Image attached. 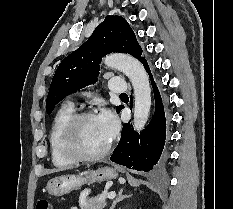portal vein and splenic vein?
<instances>
[{
	"instance_id": "portal-vein-and-splenic-vein-1",
	"label": "portal vein and splenic vein",
	"mask_w": 233,
	"mask_h": 209,
	"mask_svg": "<svg viewBox=\"0 0 233 209\" xmlns=\"http://www.w3.org/2000/svg\"><path fill=\"white\" fill-rule=\"evenodd\" d=\"M115 196H116L115 192H110L107 194V198H109V199H114Z\"/></svg>"
}]
</instances>
